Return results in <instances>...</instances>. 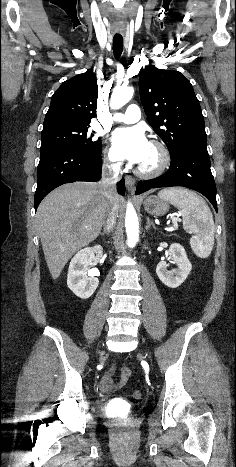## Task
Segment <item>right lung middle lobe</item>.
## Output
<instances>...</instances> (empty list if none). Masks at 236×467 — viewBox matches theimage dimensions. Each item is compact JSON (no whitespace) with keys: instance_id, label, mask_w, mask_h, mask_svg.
<instances>
[{"instance_id":"1","label":"right lung middle lobe","mask_w":236,"mask_h":467,"mask_svg":"<svg viewBox=\"0 0 236 467\" xmlns=\"http://www.w3.org/2000/svg\"><path fill=\"white\" fill-rule=\"evenodd\" d=\"M89 125H59L42 130L40 153L58 148L69 147L90 153H102L101 139H92Z\"/></svg>"}]
</instances>
